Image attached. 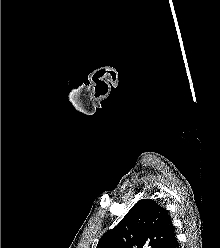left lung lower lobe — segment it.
<instances>
[{
    "label": "left lung lower lobe",
    "mask_w": 220,
    "mask_h": 248,
    "mask_svg": "<svg viewBox=\"0 0 220 248\" xmlns=\"http://www.w3.org/2000/svg\"><path fill=\"white\" fill-rule=\"evenodd\" d=\"M163 248H179V243L177 241L175 232H173L170 239Z\"/></svg>",
    "instance_id": "0a47b994"
}]
</instances>
